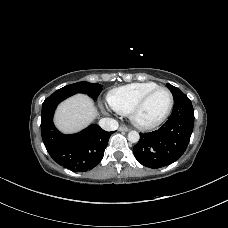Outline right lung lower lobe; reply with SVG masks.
Wrapping results in <instances>:
<instances>
[{"instance_id": "right-lung-lower-lobe-1", "label": "right lung lower lobe", "mask_w": 228, "mask_h": 228, "mask_svg": "<svg viewBox=\"0 0 228 228\" xmlns=\"http://www.w3.org/2000/svg\"><path fill=\"white\" fill-rule=\"evenodd\" d=\"M67 97L69 96L52 94L43 102L42 139L55 162L70 170L85 172L93 169L102 160L112 132L104 131L98 125L92 124L76 134L60 133L53 124V115L57 105Z\"/></svg>"}]
</instances>
